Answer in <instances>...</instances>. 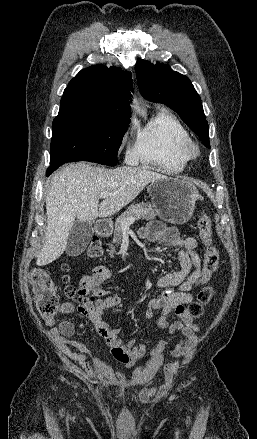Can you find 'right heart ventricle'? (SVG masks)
I'll return each instance as SVG.
<instances>
[{
    "instance_id": "obj_1",
    "label": "right heart ventricle",
    "mask_w": 257,
    "mask_h": 439,
    "mask_svg": "<svg viewBox=\"0 0 257 439\" xmlns=\"http://www.w3.org/2000/svg\"><path fill=\"white\" fill-rule=\"evenodd\" d=\"M189 140L190 135L179 119L160 110L144 128L137 130L135 161L164 173H178L189 160L183 151Z\"/></svg>"
}]
</instances>
